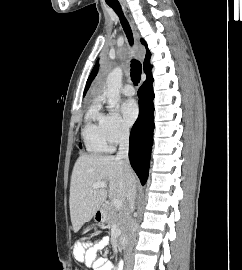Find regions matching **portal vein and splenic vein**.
<instances>
[{"label":"portal vein and splenic vein","mask_w":242,"mask_h":270,"mask_svg":"<svg viewBox=\"0 0 242 270\" xmlns=\"http://www.w3.org/2000/svg\"><path fill=\"white\" fill-rule=\"evenodd\" d=\"M92 188L95 191L99 188H107V185L103 182H96L93 184ZM112 204L117 209H123V203L119 199H116V198L112 199Z\"/></svg>","instance_id":"18ae733b"}]
</instances>
